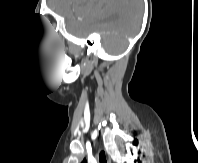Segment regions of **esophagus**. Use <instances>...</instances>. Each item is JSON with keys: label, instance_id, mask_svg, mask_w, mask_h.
<instances>
[{"label": "esophagus", "instance_id": "esophagus-1", "mask_svg": "<svg viewBox=\"0 0 198 163\" xmlns=\"http://www.w3.org/2000/svg\"><path fill=\"white\" fill-rule=\"evenodd\" d=\"M108 163H111L110 159H108Z\"/></svg>", "mask_w": 198, "mask_h": 163}]
</instances>
